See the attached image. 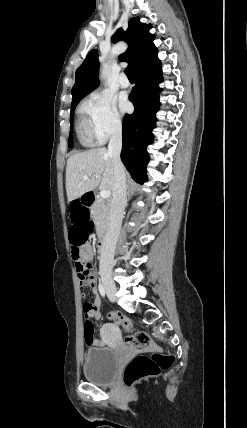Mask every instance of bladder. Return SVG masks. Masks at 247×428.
<instances>
[{"label":"bladder","mask_w":247,"mask_h":428,"mask_svg":"<svg viewBox=\"0 0 247 428\" xmlns=\"http://www.w3.org/2000/svg\"><path fill=\"white\" fill-rule=\"evenodd\" d=\"M118 352L109 347L90 348L85 353L83 374L86 380L97 385L111 384L119 370Z\"/></svg>","instance_id":"31cf9c89"}]
</instances>
